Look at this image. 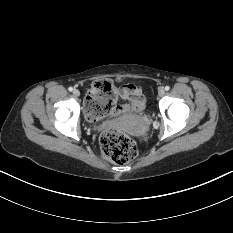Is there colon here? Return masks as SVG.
Returning <instances> with one entry per match:
<instances>
[{
	"label": "colon",
	"instance_id": "colon-1",
	"mask_svg": "<svg viewBox=\"0 0 233 233\" xmlns=\"http://www.w3.org/2000/svg\"><path fill=\"white\" fill-rule=\"evenodd\" d=\"M117 95L114 84L109 80H99L92 84L85 109L91 120H97L115 111ZM100 146L105 158L116 164H125L137 155L133 139L125 132L115 129L104 131L100 136Z\"/></svg>",
	"mask_w": 233,
	"mask_h": 233
}]
</instances>
